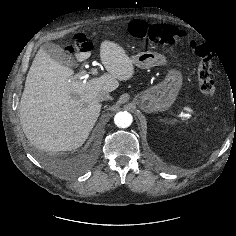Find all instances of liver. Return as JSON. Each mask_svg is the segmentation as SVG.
<instances>
[{"label":"liver","mask_w":236,"mask_h":236,"mask_svg":"<svg viewBox=\"0 0 236 236\" xmlns=\"http://www.w3.org/2000/svg\"><path fill=\"white\" fill-rule=\"evenodd\" d=\"M90 52L76 53L79 62ZM100 58L108 73L88 81L77 80L74 71L55 61L42 47L26 77L19 105L24 134L37 148L71 151L81 147L94 127L101 110L97 95L112 92L119 81L135 73L133 59L119 44L104 40Z\"/></svg>","instance_id":"1"}]
</instances>
